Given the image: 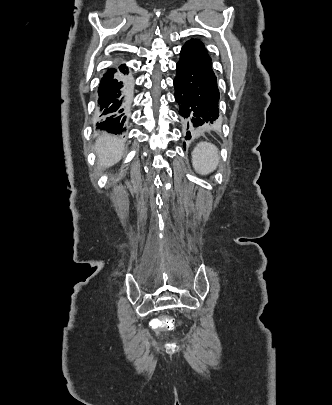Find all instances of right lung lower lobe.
Here are the masks:
<instances>
[{"label": "right lung lower lobe", "mask_w": 332, "mask_h": 405, "mask_svg": "<svg viewBox=\"0 0 332 405\" xmlns=\"http://www.w3.org/2000/svg\"><path fill=\"white\" fill-rule=\"evenodd\" d=\"M98 95V108L101 116L105 117L98 126L114 134L124 132L133 95L132 77L128 68L120 65L108 69L100 81Z\"/></svg>", "instance_id": "1"}]
</instances>
